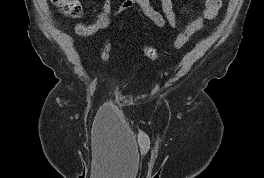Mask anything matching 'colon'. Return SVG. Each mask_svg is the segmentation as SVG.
I'll return each instance as SVG.
<instances>
[{
	"instance_id": "5ec220e1",
	"label": "colon",
	"mask_w": 264,
	"mask_h": 178,
	"mask_svg": "<svg viewBox=\"0 0 264 178\" xmlns=\"http://www.w3.org/2000/svg\"><path fill=\"white\" fill-rule=\"evenodd\" d=\"M53 5L58 7L65 15L77 18L82 14V6L79 0H50ZM192 33L185 30L174 40L173 46L177 49L183 48L191 38ZM144 55L151 60H155L160 56V52L152 47L146 46L143 49ZM101 57L104 61H108L111 55V45L110 43H104L101 47Z\"/></svg>"
}]
</instances>
